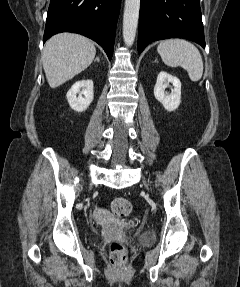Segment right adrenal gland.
I'll list each match as a JSON object with an SVG mask.
<instances>
[{"instance_id": "2a0ac1e0", "label": "right adrenal gland", "mask_w": 240, "mask_h": 287, "mask_svg": "<svg viewBox=\"0 0 240 287\" xmlns=\"http://www.w3.org/2000/svg\"><path fill=\"white\" fill-rule=\"evenodd\" d=\"M95 61H98V62H99V61H100L99 57H97V58L95 59Z\"/></svg>"}]
</instances>
